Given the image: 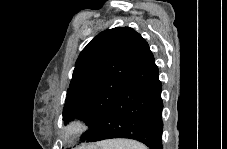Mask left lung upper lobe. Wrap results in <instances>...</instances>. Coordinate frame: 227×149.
<instances>
[{
  "instance_id": "5c2ea615",
  "label": "left lung upper lobe",
  "mask_w": 227,
  "mask_h": 149,
  "mask_svg": "<svg viewBox=\"0 0 227 149\" xmlns=\"http://www.w3.org/2000/svg\"><path fill=\"white\" fill-rule=\"evenodd\" d=\"M145 39L130 27L107 29L94 37L80 53L73 71L63 117L72 113L88 125L80 142L96 128L125 86Z\"/></svg>"
}]
</instances>
